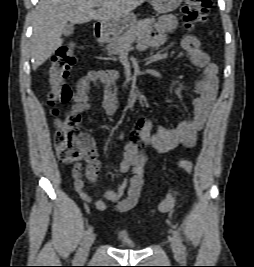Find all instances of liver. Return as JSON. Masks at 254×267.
<instances>
[{
    "label": "liver",
    "mask_w": 254,
    "mask_h": 267,
    "mask_svg": "<svg viewBox=\"0 0 254 267\" xmlns=\"http://www.w3.org/2000/svg\"><path fill=\"white\" fill-rule=\"evenodd\" d=\"M146 0H40L33 16L30 56L34 71L63 44V28L91 20L106 21L127 16ZM100 4L98 10H94Z\"/></svg>",
    "instance_id": "1"
}]
</instances>
